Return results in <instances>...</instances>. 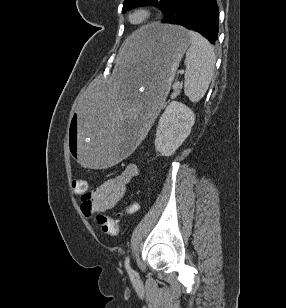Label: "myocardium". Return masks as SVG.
I'll return each instance as SVG.
<instances>
[{"instance_id":"1","label":"myocardium","mask_w":286,"mask_h":308,"mask_svg":"<svg viewBox=\"0 0 286 308\" xmlns=\"http://www.w3.org/2000/svg\"><path fill=\"white\" fill-rule=\"evenodd\" d=\"M135 15H140L141 18L138 21H135L133 19ZM152 15H153V12L150 8L140 7V8H136L130 11V13L128 14V21L132 25L142 26V25L147 24L150 21V19L152 18Z\"/></svg>"}]
</instances>
